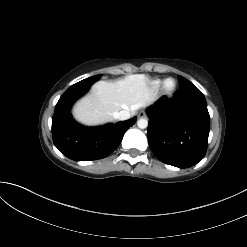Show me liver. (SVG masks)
Listing matches in <instances>:
<instances>
[{
	"label": "liver",
	"instance_id": "1",
	"mask_svg": "<svg viewBox=\"0 0 247 247\" xmlns=\"http://www.w3.org/2000/svg\"><path fill=\"white\" fill-rule=\"evenodd\" d=\"M149 80L144 74L128 75L123 79L98 81L90 94L79 100L73 109L74 117L85 125H99L114 120V113L137 109L154 100Z\"/></svg>",
	"mask_w": 247,
	"mask_h": 247
}]
</instances>
